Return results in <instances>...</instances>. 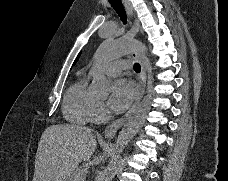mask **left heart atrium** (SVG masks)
<instances>
[{"instance_id":"39dd6f15","label":"left heart atrium","mask_w":228,"mask_h":181,"mask_svg":"<svg viewBox=\"0 0 228 181\" xmlns=\"http://www.w3.org/2000/svg\"><path fill=\"white\" fill-rule=\"evenodd\" d=\"M132 97L133 85L125 79H119L113 86L110 108L115 112H121L128 106Z\"/></svg>"}]
</instances>
